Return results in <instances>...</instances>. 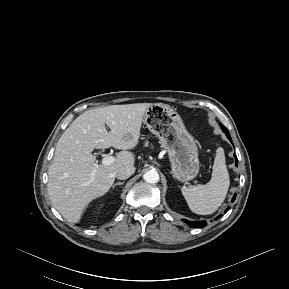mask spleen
Masks as SVG:
<instances>
[{
    "instance_id": "3e777b00",
    "label": "spleen",
    "mask_w": 289,
    "mask_h": 289,
    "mask_svg": "<svg viewBox=\"0 0 289 289\" xmlns=\"http://www.w3.org/2000/svg\"><path fill=\"white\" fill-rule=\"evenodd\" d=\"M230 185L223 148L216 150L211 180L197 186H184L181 192L190 210L199 215L214 213L225 200Z\"/></svg>"
}]
</instances>
